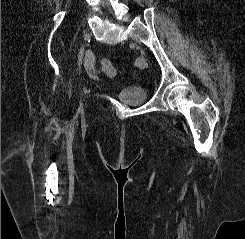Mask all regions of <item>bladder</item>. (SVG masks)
I'll list each match as a JSON object with an SVG mask.
<instances>
[{
	"instance_id": "1",
	"label": "bladder",
	"mask_w": 245,
	"mask_h": 239,
	"mask_svg": "<svg viewBox=\"0 0 245 239\" xmlns=\"http://www.w3.org/2000/svg\"><path fill=\"white\" fill-rule=\"evenodd\" d=\"M117 98L127 105L143 104L148 99V90L146 87L137 85L120 87Z\"/></svg>"
}]
</instances>
